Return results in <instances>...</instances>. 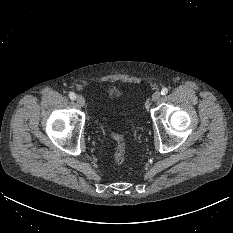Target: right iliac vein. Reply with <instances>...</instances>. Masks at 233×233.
<instances>
[{"label":"right iliac vein","instance_id":"1","mask_svg":"<svg viewBox=\"0 0 233 233\" xmlns=\"http://www.w3.org/2000/svg\"><path fill=\"white\" fill-rule=\"evenodd\" d=\"M76 101L80 107H83L85 105V99L82 95H77Z\"/></svg>","mask_w":233,"mask_h":233}]
</instances>
